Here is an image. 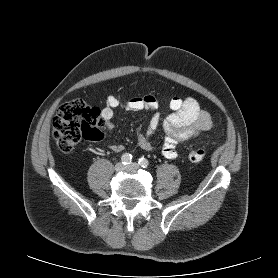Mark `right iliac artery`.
Listing matches in <instances>:
<instances>
[{
	"instance_id": "obj_1",
	"label": "right iliac artery",
	"mask_w": 278,
	"mask_h": 278,
	"mask_svg": "<svg viewBox=\"0 0 278 278\" xmlns=\"http://www.w3.org/2000/svg\"><path fill=\"white\" fill-rule=\"evenodd\" d=\"M121 161L124 165L130 164L132 162V155L129 153H125L121 157Z\"/></svg>"
}]
</instances>
